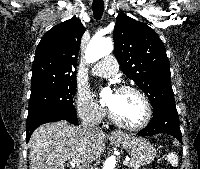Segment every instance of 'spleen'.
Here are the masks:
<instances>
[{
    "instance_id": "1",
    "label": "spleen",
    "mask_w": 200,
    "mask_h": 169,
    "mask_svg": "<svg viewBox=\"0 0 200 169\" xmlns=\"http://www.w3.org/2000/svg\"><path fill=\"white\" fill-rule=\"evenodd\" d=\"M168 162L174 167L178 166V157L175 152H171L168 155Z\"/></svg>"
}]
</instances>
